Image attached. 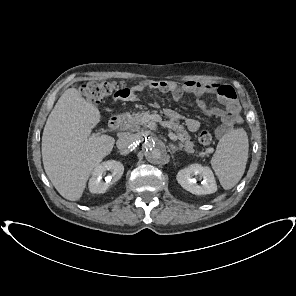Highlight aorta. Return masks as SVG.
<instances>
[{
  "label": "aorta",
  "instance_id": "1",
  "mask_svg": "<svg viewBox=\"0 0 296 296\" xmlns=\"http://www.w3.org/2000/svg\"><path fill=\"white\" fill-rule=\"evenodd\" d=\"M142 148L146 160L152 164L163 163L166 158V149L156 143L152 138L145 137L142 141Z\"/></svg>",
  "mask_w": 296,
  "mask_h": 296
}]
</instances>
